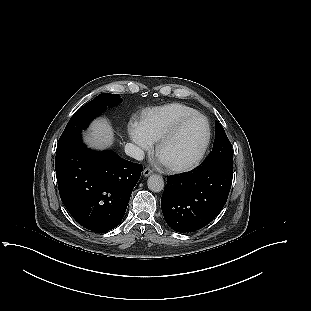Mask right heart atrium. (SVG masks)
<instances>
[{"mask_svg": "<svg viewBox=\"0 0 311 311\" xmlns=\"http://www.w3.org/2000/svg\"><path fill=\"white\" fill-rule=\"evenodd\" d=\"M127 133L130 139L143 151L152 147V141L145 134L141 123L131 120L127 126Z\"/></svg>", "mask_w": 311, "mask_h": 311, "instance_id": "d8ad5b80", "label": "right heart atrium"}]
</instances>
